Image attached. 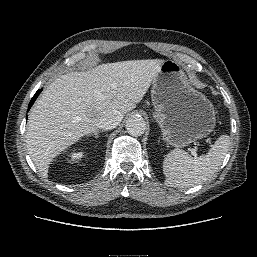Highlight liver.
Returning a JSON list of instances; mask_svg holds the SVG:
<instances>
[{"instance_id":"1","label":"liver","mask_w":257,"mask_h":257,"mask_svg":"<svg viewBox=\"0 0 257 257\" xmlns=\"http://www.w3.org/2000/svg\"><path fill=\"white\" fill-rule=\"evenodd\" d=\"M164 60H129L70 72L41 94L28 118L26 143L35 166L47 177L49 164L68 146L97 128L99 118L136 107Z\"/></svg>"}]
</instances>
